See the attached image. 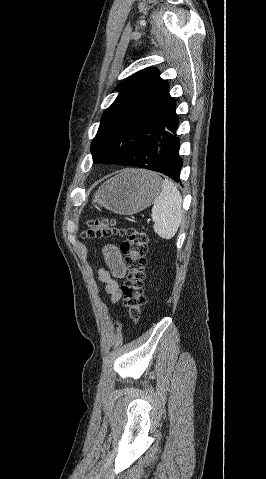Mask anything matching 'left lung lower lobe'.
I'll use <instances>...</instances> for the list:
<instances>
[{"label": "left lung lower lobe", "mask_w": 266, "mask_h": 479, "mask_svg": "<svg viewBox=\"0 0 266 479\" xmlns=\"http://www.w3.org/2000/svg\"><path fill=\"white\" fill-rule=\"evenodd\" d=\"M178 123L176 103L174 102L166 117L163 131L157 144L155 158L139 166L163 173L176 182H180V171L183 166L182 158L179 155L180 139L176 134Z\"/></svg>", "instance_id": "left-lung-lower-lobe-1"}]
</instances>
